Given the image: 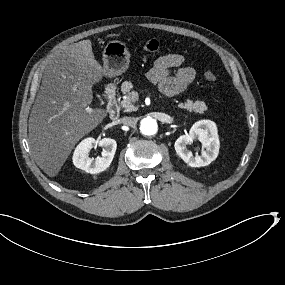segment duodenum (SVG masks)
Segmentation results:
<instances>
[{
	"instance_id": "1",
	"label": "duodenum",
	"mask_w": 285,
	"mask_h": 285,
	"mask_svg": "<svg viewBox=\"0 0 285 285\" xmlns=\"http://www.w3.org/2000/svg\"><path fill=\"white\" fill-rule=\"evenodd\" d=\"M107 110L110 119L116 120L119 117L120 110L116 102V90L114 86H109L106 90Z\"/></svg>"
}]
</instances>
